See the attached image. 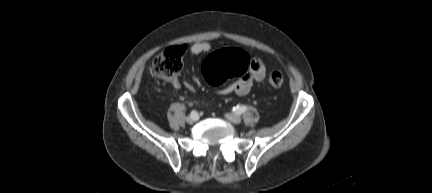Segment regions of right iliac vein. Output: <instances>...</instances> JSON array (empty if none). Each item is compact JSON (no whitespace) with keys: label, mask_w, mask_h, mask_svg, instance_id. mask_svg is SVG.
I'll use <instances>...</instances> for the list:
<instances>
[{"label":"right iliac vein","mask_w":432,"mask_h":193,"mask_svg":"<svg viewBox=\"0 0 432 193\" xmlns=\"http://www.w3.org/2000/svg\"><path fill=\"white\" fill-rule=\"evenodd\" d=\"M198 118H199V116H198V114L196 115V116H188L187 118H186V121H187V123H189V124H193L194 122H196L197 120H198Z\"/></svg>","instance_id":"1"}]
</instances>
